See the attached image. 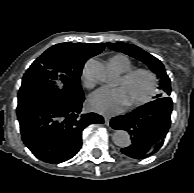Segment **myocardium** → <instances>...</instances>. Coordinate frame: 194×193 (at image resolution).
I'll return each instance as SVG.
<instances>
[{
    "label": "myocardium",
    "instance_id": "obj_1",
    "mask_svg": "<svg viewBox=\"0 0 194 193\" xmlns=\"http://www.w3.org/2000/svg\"><path fill=\"white\" fill-rule=\"evenodd\" d=\"M137 75L146 76L148 79L149 85H148L147 91L145 92L143 96L127 104V107L131 109L147 103L155 95L156 88H157L156 75L154 74L153 71L147 68H134V69L129 70L128 72L123 74V76L121 77V82L126 83Z\"/></svg>",
    "mask_w": 194,
    "mask_h": 193
}]
</instances>
